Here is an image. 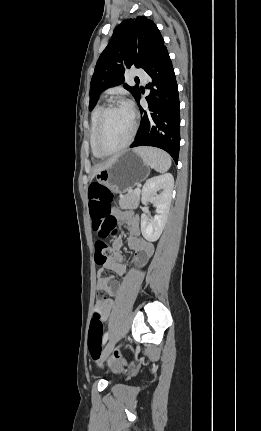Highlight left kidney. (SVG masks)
I'll use <instances>...</instances> for the list:
<instances>
[{"instance_id":"left-kidney-1","label":"left kidney","mask_w":261,"mask_h":431,"mask_svg":"<svg viewBox=\"0 0 261 431\" xmlns=\"http://www.w3.org/2000/svg\"><path fill=\"white\" fill-rule=\"evenodd\" d=\"M173 186L174 178L170 173L153 177L147 180L143 186L142 202L145 203L149 200L156 207L157 212L153 218H149L145 214L141 216L142 235L150 242L156 241L165 227L172 200ZM158 190H162L159 196L156 195Z\"/></svg>"}]
</instances>
